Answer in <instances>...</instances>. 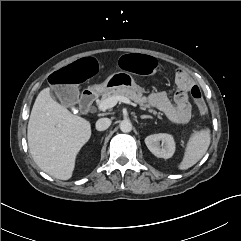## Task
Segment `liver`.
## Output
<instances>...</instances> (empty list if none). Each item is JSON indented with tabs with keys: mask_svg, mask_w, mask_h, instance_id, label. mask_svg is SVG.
<instances>
[{
	"mask_svg": "<svg viewBox=\"0 0 241 241\" xmlns=\"http://www.w3.org/2000/svg\"><path fill=\"white\" fill-rule=\"evenodd\" d=\"M90 136L89 121L56 102L48 87L40 91L30 114L27 140L42 171L56 179H70L76 156Z\"/></svg>",
	"mask_w": 241,
	"mask_h": 241,
	"instance_id": "6515ba94",
	"label": "liver"
}]
</instances>
